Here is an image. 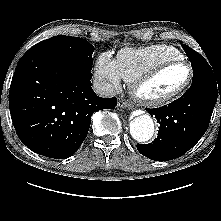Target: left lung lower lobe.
I'll list each match as a JSON object with an SVG mask.
<instances>
[{
    "mask_svg": "<svg viewBox=\"0 0 221 221\" xmlns=\"http://www.w3.org/2000/svg\"><path fill=\"white\" fill-rule=\"evenodd\" d=\"M220 98L221 75L194 80L177 100L161 108L147 109L160 124L158 136L149 144H137L138 151L156 161L178 158L190 150L206 132L214 106Z\"/></svg>",
    "mask_w": 221,
    "mask_h": 221,
    "instance_id": "0a47b994",
    "label": "left lung lower lobe"
}]
</instances>
